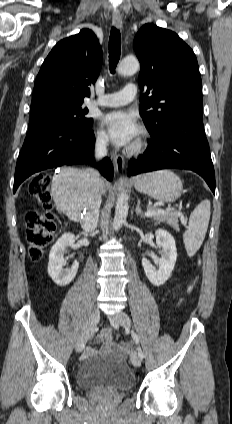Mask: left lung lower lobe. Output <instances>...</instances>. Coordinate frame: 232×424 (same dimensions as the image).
I'll return each mask as SVG.
<instances>
[{"instance_id": "left-lung-lower-lobe-1", "label": "left lung lower lobe", "mask_w": 232, "mask_h": 424, "mask_svg": "<svg viewBox=\"0 0 232 424\" xmlns=\"http://www.w3.org/2000/svg\"><path fill=\"white\" fill-rule=\"evenodd\" d=\"M150 135L152 139L143 156L130 161L129 176L160 169L192 170L205 179L215 194V173L202 114L175 116L158 133Z\"/></svg>"}]
</instances>
